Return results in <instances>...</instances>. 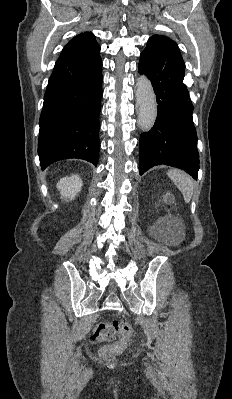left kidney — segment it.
Segmentation results:
<instances>
[{"mask_svg": "<svg viewBox=\"0 0 232 399\" xmlns=\"http://www.w3.org/2000/svg\"><path fill=\"white\" fill-rule=\"evenodd\" d=\"M161 221H163V219H157L155 227H157V225H159ZM178 227H183V223H181V221H174V219H169V221H164L163 229H165V231L166 229H171V231H174V229H178Z\"/></svg>", "mask_w": 232, "mask_h": 399, "instance_id": "1", "label": "left kidney"}]
</instances>
